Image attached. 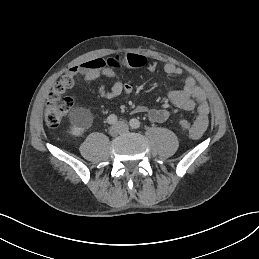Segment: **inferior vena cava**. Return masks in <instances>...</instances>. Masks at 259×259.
<instances>
[{
	"instance_id": "obj_1",
	"label": "inferior vena cava",
	"mask_w": 259,
	"mask_h": 259,
	"mask_svg": "<svg viewBox=\"0 0 259 259\" xmlns=\"http://www.w3.org/2000/svg\"><path fill=\"white\" fill-rule=\"evenodd\" d=\"M118 127H122V129H123L124 131H127V130H128V126H127V124H125V123H119Z\"/></svg>"
}]
</instances>
